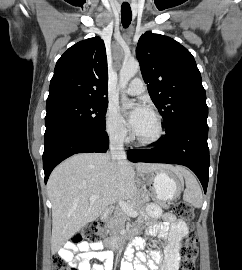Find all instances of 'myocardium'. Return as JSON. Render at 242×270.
Segmentation results:
<instances>
[{"mask_svg":"<svg viewBox=\"0 0 242 270\" xmlns=\"http://www.w3.org/2000/svg\"><path fill=\"white\" fill-rule=\"evenodd\" d=\"M150 113L155 118V121H156V124H157V132H156L155 136L150 138V139L138 138L135 135V132H133L132 133V140L138 146H142V147L154 146V145L158 144L164 137L165 128H164V123H163L162 117L156 111H150Z\"/></svg>","mask_w":242,"mask_h":270,"instance_id":"myocardium-1","label":"myocardium"}]
</instances>
